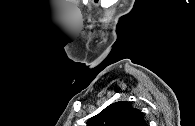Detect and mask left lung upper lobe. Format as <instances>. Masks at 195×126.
Returning <instances> with one entry per match:
<instances>
[{"mask_svg": "<svg viewBox=\"0 0 195 126\" xmlns=\"http://www.w3.org/2000/svg\"><path fill=\"white\" fill-rule=\"evenodd\" d=\"M87 126H147V123L139 109L130 102L119 101L90 118Z\"/></svg>", "mask_w": 195, "mask_h": 126, "instance_id": "5c2ea615", "label": "left lung upper lobe"}]
</instances>
